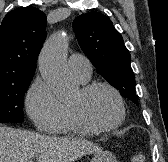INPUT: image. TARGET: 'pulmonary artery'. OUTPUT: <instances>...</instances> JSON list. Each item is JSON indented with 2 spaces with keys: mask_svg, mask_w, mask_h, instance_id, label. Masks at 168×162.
I'll return each instance as SVG.
<instances>
[{
  "mask_svg": "<svg viewBox=\"0 0 168 162\" xmlns=\"http://www.w3.org/2000/svg\"><path fill=\"white\" fill-rule=\"evenodd\" d=\"M68 67L74 77L80 82L84 83L89 80L91 76V63L87 57L80 54H72L68 58Z\"/></svg>",
  "mask_w": 168,
  "mask_h": 162,
  "instance_id": "obj_1",
  "label": "pulmonary artery"
}]
</instances>
